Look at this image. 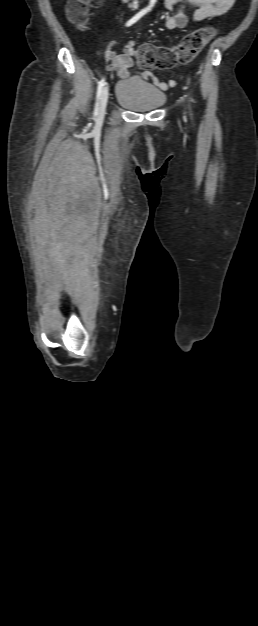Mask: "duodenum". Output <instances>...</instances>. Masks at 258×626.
<instances>
[{
	"label": "duodenum",
	"instance_id": "1",
	"mask_svg": "<svg viewBox=\"0 0 258 626\" xmlns=\"http://www.w3.org/2000/svg\"><path fill=\"white\" fill-rule=\"evenodd\" d=\"M123 1L128 2L129 0H123Z\"/></svg>",
	"mask_w": 258,
	"mask_h": 626
}]
</instances>
